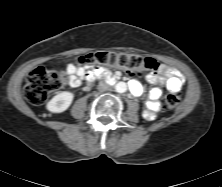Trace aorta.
I'll return each instance as SVG.
<instances>
[{
  "mask_svg": "<svg viewBox=\"0 0 222 187\" xmlns=\"http://www.w3.org/2000/svg\"><path fill=\"white\" fill-rule=\"evenodd\" d=\"M115 89L119 93H124L127 90V84L125 82H119L116 84Z\"/></svg>",
  "mask_w": 222,
  "mask_h": 187,
  "instance_id": "aorta-1",
  "label": "aorta"
}]
</instances>
